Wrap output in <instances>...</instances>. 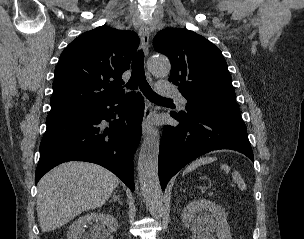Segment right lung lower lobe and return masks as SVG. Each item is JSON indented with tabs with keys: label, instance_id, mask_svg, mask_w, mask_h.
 Returning <instances> with one entry per match:
<instances>
[{
	"label": "right lung lower lobe",
	"instance_id": "98d812e1",
	"mask_svg": "<svg viewBox=\"0 0 304 239\" xmlns=\"http://www.w3.org/2000/svg\"><path fill=\"white\" fill-rule=\"evenodd\" d=\"M143 115L144 100L139 93L120 94L81 114L47 121L35 184L58 164L79 160L107 168L134 191L133 155L140 142ZM104 120L109 127H104Z\"/></svg>",
	"mask_w": 304,
	"mask_h": 239
}]
</instances>
